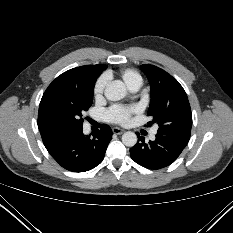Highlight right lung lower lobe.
Masks as SVG:
<instances>
[{"instance_id":"1","label":"right lung lower lobe","mask_w":233,"mask_h":233,"mask_svg":"<svg viewBox=\"0 0 233 233\" xmlns=\"http://www.w3.org/2000/svg\"><path fill=\"white\" fill-rule=\"evenodd\" d=\"M112 139V130L102 124L93 137L85 136L82 127L53 133L42 139L50 155L66 170L85 172L98 166Z\"/></svg>"}]
</instances>
